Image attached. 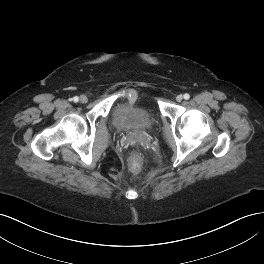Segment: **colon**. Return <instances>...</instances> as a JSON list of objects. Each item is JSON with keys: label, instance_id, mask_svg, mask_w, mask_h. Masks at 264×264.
I'll return each instance as SVG.
<instances>
[{"label": "colon", "instance_id": "5ec220e1", "mask_svg": "<svg viewBox=\"0 0 264 264\" xmlns=\"http://www.w3.org/2000/svg\"><path fill=\"white\" fill-rule=\"evenodd\" d=\"M131 170L133 173H137L140 170L139 160L136 159L131 163Z\"/></svg>", "mask_w": 264, "mask_h": 264}]
</instances>
